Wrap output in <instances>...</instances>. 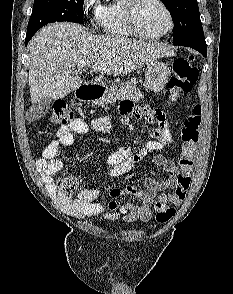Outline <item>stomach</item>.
Wrapping results in <instances>:
<instances>
[{
    "mask_svg": "<svg viewBox=\"0 0 233 294\" xmlns=\"http://www.w3.org/2000/svg\"><path fill=\"white\" fill-rule=\"evenodd\" d=\"M171 75L169 67L160 61L149 63L145 70V87L153 92H160L168 82ZM104 92V91H103ZM102 95V97H101ZM101 97V98H99ZM105 97V93L99 92L96 96V102ZM113 102V101H109Z\"/></svg>",
    "mask_w": 233,
    "mask_h": 294,
    "instance_id": "1",
    "label": "stomach"
}]
</instances>
